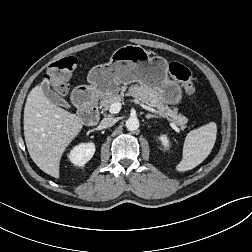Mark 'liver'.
<instances>
[{"instance_id":"6515ba94","label":"liver","mask_w":252,"mask_h":252,"mask_svg":"<svg viewBox=\"0 0 252 252\" xmlns=\"http://www.w3.org/2000/svg\"><path fill=\"white\" fill-rule=\"evenodd\" d=\"M41 84L24 108V136L30 157L46 174L59 178L61 156L83 128V119L46 98Z\"/></svg>"}]
</instances>
